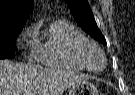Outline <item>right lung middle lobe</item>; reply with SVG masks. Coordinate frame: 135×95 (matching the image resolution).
Segmentation results:
<instances>
[{
	"instance_id": "1",
	"label": "right lung middle lobe",
	"mask_w": 135,
	"mask_h": 95,
	"mask_svg": "<svg viewBox=\"0 0 135 95\" xmlns=\"http://www.w3.org/2000/svg\"><path fill=\"white\" fill-rule=\"evenodd\" d=\"M20 32L21 30L0 35V59L14 58L13 45Z\"/></svg>"
}]
</instances>
